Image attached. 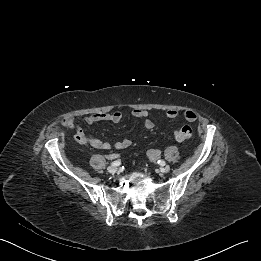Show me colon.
I'll list each match as a JSON object with an SVG mask.
<instances>
[{
	"label": "colon",
	"mask_w": 261,
	"mask_h": 261,
	"mask_svg": "<svg viewBox=\"0 0 261 261\" xmlns=\"http://www.w3.org/2000/svg\"><path fill=\"white\" fill-rule=\"evenodd\" d=\"M192 128L189 125H184L174 130V137L178 141H185L192 137Z\"/></svg>",
	"instance_id": "obj_1"
}]
</instances>
